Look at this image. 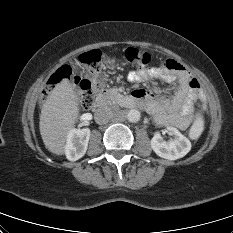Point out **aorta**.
Instances as JSON below:
<instances>
[{"mask_svg":"<svg viewBox=\"0 0 233 233\" xmlns=\"http://www.w3.org/2000/svg\"><path fill=\"white\" fill-rule=\"evenodd\" d=\"M129 122L136 123L140 120L141 114L137 109H131L126 115Z\"/></svg>","mask_w":233,"mask_h":233,"instance_id":"1","label":"aorta"}]
</instances>
